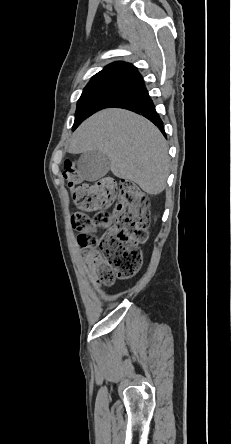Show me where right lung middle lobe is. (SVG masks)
I'll return each instance as SVG.
<instances>
[{"instance_id": "dd1d6c3e", "label": "right lung middle lobe", "mask_w": 231, "mask_h": 444, "mask_svg": "<svg viewBox=\"0 0 231 444\" xmlns=\"http://www.w3.org/2000/svg\"><path fill=\"white\" fill-rule=\"evenodd\" d=\"M127 92L113 85H102L94 88L84 89L77 103L73 130L93 113L108 108L126 95Z\"/></svg>"}]
</instances>
